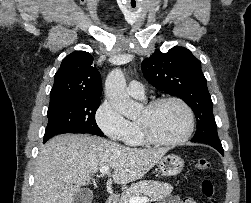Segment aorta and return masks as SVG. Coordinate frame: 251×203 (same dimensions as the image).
I'll use <instances>...</instances> for the list:
<instances>
[{
	"instance_id": "aorta-1",
	"label": "aorta",
	"mask_w": 251,
	"mask_h": 203,
	"mask_svg": "<svg viewBox=\"0 0 251 203\" xmlns=\"http://www.w3.org/2000/svg\"><path fill=\"white\" fill-rule=\"evenodd\" d=\"M105 96L109 103L127 118H134L140 112V105L127 93L126 80L121 69H113L105 81Z\"/></svg>"
}]
</instances>
